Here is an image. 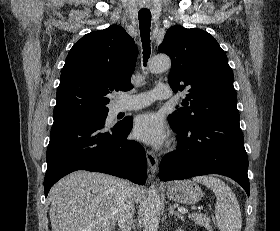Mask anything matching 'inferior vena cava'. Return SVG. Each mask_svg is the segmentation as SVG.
Masks as SVG:
<instances>
[{
  "label": "inferior vena cava",
  "mask_w": 280,
  "mask_h": 231,
  "mask_svg": "<svg viewBox=\"0 0 280 231\" xmlns=\"http://www.w3.org/2000/svg\"><path fill=\"white\" fill-rule=\"evenodd\" d=\"M118 185L120 189V197L116 199L118 223L121 231H130L131 221L135 213L133 185L126 179H121Z\"/></svg>",
  "instance_id": "inferior-vena-cava-1"
}]
</instances>
